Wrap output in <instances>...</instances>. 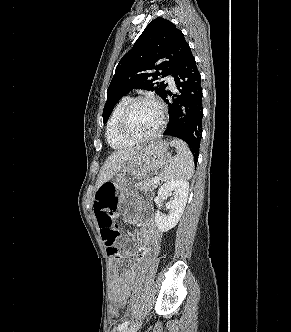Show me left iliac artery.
<instances>
[{"instance_id":"44dca946","label":"left iliac artery","mask_w":291,"mask_h":332,"mask_svg":"<svg viewBox=\"0 0 291 332\" xmlns=\"http://www.w3.org/2000/svg\"><path fill=\"white\" fill-rule=\"evenodd\" d=\"M130 321H125L122 324H120L117 328V331L121 332L124 328H126L129 325Z\"/></svg>"}]
</instances>
